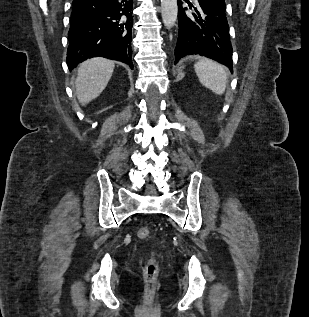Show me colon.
I'll list each match as a JSON object with an SVG mask.
<instances>
[{"mask_svg":"<svg viewBox=\"0 0 309 317\" xmlns=\"http://www.w3.org/2000/svg\"><path fill=\"white\" fill-rule=\"evenodd\" d=\"M150 231L147 227H141L137 230V237L139 239H147ZM159 265L158 262L151 258L145 265L143 270V277L145 283V296L148 300H152L156 290L157 276Z\"/></svg>","mask_w":309,"mask_h":317,"instance_id":"obj_1","label":"colon"}]
</instances>
